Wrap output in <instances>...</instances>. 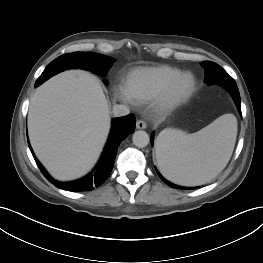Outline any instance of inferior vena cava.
Here are the masks:
<instances>
[{
	"label": "inferior vena cava",
	"mask_w": 263,
	"mask_h": 263,
	"mask_svg": "<svg viewBox=\"0 0 263 263\" xmlns=\"http://www.w3.org/2000/svg\"><path fill=\"white\" fill-rule=\"evenodd\" d=\"M129 109L125 105L116 104L113 106L112 113L115 117H121L129 114Z\"/></svg>",
	"instance_id": "inferior-vena-cava-1"
}]
</instances>
